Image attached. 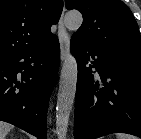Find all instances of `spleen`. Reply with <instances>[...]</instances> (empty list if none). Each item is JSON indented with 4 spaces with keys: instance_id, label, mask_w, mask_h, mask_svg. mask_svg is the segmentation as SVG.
I'll return each instance as SVG.
<instances>
[{
    "instance_id": "1",
    "label": "spleen",
    "mask_w": 141,
    "mask_h": 139,
    "mask_svg": "<svg viewBox=\"0 0 141 139\" xmlns=\"http://www.w3.org/2000/svg\"><path fill=\"white\" fill-rule=\"evenodd\" d=\"M117 139H137V138L128 134H117Z\"/></svg>"
}]
</instances>
